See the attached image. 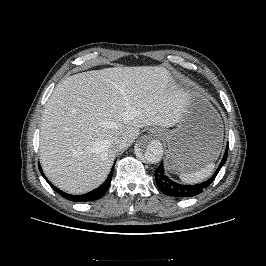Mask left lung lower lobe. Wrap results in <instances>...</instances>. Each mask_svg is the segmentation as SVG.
Returning a JSON list of instances; mask_svg holds the SVG:
<instances>
[{"mask_svg":"<svg viewBox=\"0 0 266 266\" xmlns=\"http://www.w3.org/2000/svg\"><path fill=\"white\" fill-rule=\"evenodd\" d=\"M227 155H228V145L224 153V156L222 158V161L218 169L214 173V175L207 181L196 185H181L169 179L164 173V167L162 162L160 166L155 170V180L157 186L164 194L168 196L185 198V197H192L198 195L201 192H203V190L213 182L218 172L220 171L221 167L224 165L225 161L227 160Z\"/></svg>","mask_w":266,"mask_h":266,"instance_id":"1","label":"left lung lower lobe"}]
</instances>
